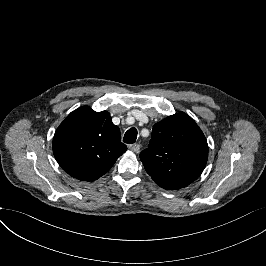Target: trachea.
<instances>
[{
	"label": "trachea",
	"mask_w": 266,
	"mask_h": 266,
	"mask_svg": "<svg viewBox=\"0 0 266 266\" xmlns=\"http://www.w3.org/2000/svg\"><path fill=\"white\" fill-rule=\"evenodd\" d=\"M137 139V130L136 128H130L124 135L123 141L127 144H132Z\"/></svg>",
	"instance_id": "3493384b"
}]
</instances>
